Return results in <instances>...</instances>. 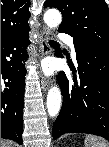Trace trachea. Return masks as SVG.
<instances>
[{
    "label": "trachea",
    "mask_w": 109,
    "mask_h": 147,
    "mask_svg": "<svg viewBox=\"0 0 109 147\" xmlns=\"http://www.w3.org/2000/svg\"><path fill=\"white\" fill-rule=\"evenodd\" d=\"M49 43H50V44H56V42H55V41H49Z\"/></svg>",
    "instance_id": "3493384b"
}]
</instances>
